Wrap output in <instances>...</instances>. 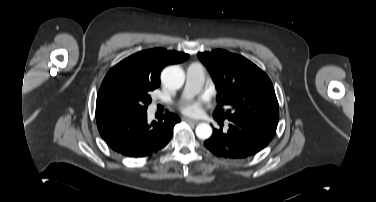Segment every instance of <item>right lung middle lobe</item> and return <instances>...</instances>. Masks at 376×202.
Segmentation results:
<instances>
[{
  "label": "right lung middle lobe",
  "mask_w": 376,
  "mask_h": 202,
  "mask_svg": "<svg viewBox=\"0 0 376 202\" xmlns=\"http://www.w3.org/2000/svg\"><path fill=\"white\" fill-rule=\"evenodd\" d=\"M159 84L130 70L109 71L97 95L96 117L111 113L146 112L151 102L150 93Z\"/></svg>",
  "instance_id": "obj_1"
}]
</instances>
